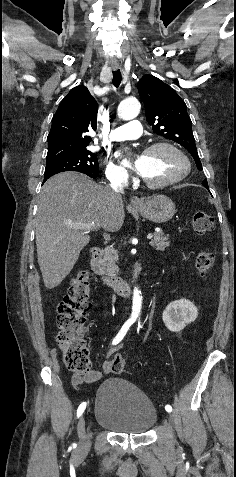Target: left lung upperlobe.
Listing matches in <instances>:
<instances>
[{"label": "left lung upper lobe", "instance_id": "obj_1", "mask_svg": "<svg viewBox=\"0 0 236 477\" xmlns=\"http://www.w3.org/2000/svg\"><path fill=\"white\" fill-rule=\"evenodd\" d=\"M138 92L144 102L147 122L153 131L186 148L197 168L202 170L185 102L169 85L149 74L138 82ZM202 185L209 189L207 180Z\"/></svg>", "mask_w": 236, "mask_h": 477}]
</instances>
